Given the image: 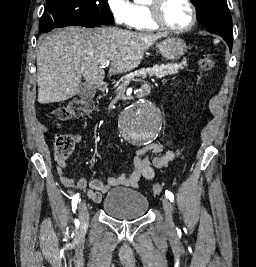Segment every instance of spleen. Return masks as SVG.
Instances as JSON below:
<instances>
[{
    "mask_svg": "<svg viewBox=\"0 0 256 267\" xmlns=\"http://www.w3.org/2000/svg\"><path fill=\"white\" fill-rule=\"evenodd\" d=\"M219 40H214V44H218Z\"/></svg>",
    "mask_w": 256,
    "mask_h": 267,
    "instance_id": "1",
    "label": "spleen"
}]
</instances>
